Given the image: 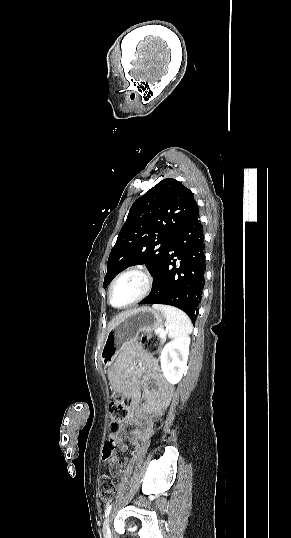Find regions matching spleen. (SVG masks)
Segmentation results:
<instances>
[{
  "instance_id": "1",
  "label": "spleen",
  "mask_w": 291,
  "mask_h": 538,
  "mask_svg": "<svg viewBox=\"0 0 291 538\" xmlns=\"http://www.w3.org/2000/svg\"><path fill=\"white\" fill-rule=\"evenodd\" d=\"M153 309L164 314L170 338H179L192 332L191 320L182 310L163 304H154Z\"/></svg>"
}]
</instances>
